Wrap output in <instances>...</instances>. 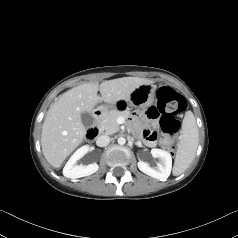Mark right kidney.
I'll use <instances>...</instances> for the list:
<instances>
[{
  "label": "right kidney",
  "mask_w": 238,
  "mask_h": 238,
  "mask_svg": "<svg viewBox=\"0 0 238 238\" xmlns=\"http://www.w3.org/2000/svg\"><path fill=\"white\" fill-rule=\"evenodd\" d=\"M89 149L90 147L88 145L82 146L71 156L63 169V175L65 177L72 179L81 178L89 176L98 170L99 166L96 163L87 166L76 165V162L81 159Z\"/></svg>",
  "instance_id": "ca27d5eb"
}]
</instances>
